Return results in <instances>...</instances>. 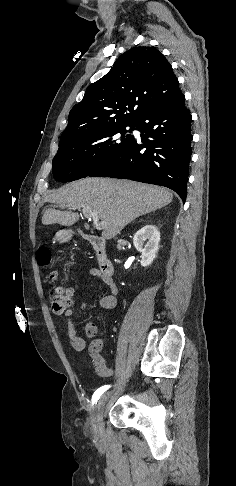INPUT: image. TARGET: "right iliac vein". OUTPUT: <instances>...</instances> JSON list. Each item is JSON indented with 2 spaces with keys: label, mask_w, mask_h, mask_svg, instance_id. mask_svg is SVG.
Returning <instances> with one entry per match:
<instances>
[{
  "label": "right iliac vein",
  "mask_w": 236,
  "mask_h": 486,
  "mask_svg": "<svg viewBox=\"0 0 236 486\" xmlns=\"http://www.w3.org/2000/svg\"><path fill=\"white\" fill-rule=\"evenodd\" d=\"M108 399V394H104L98 403L95 406V410L93 413V422L95 425V432L96 436L100 437L102 435L103 427H102V420H103V412H104V407L105 403Z\"/></svg>",
  "instance_id": "1"
}]
</instances>
